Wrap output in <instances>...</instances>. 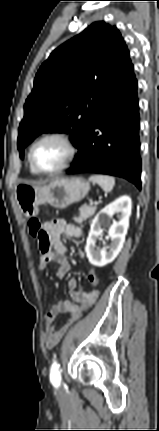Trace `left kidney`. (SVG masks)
Listing matches in <instances>:
<instances>
[{"label": "left kidney", "mask_w": 159, "mask_h": 431, "mask_svg": "<svg viewBox=\"0 0 159 431\" xmlns=\"http://www.w3.org/2000/svg\"><path fill=\"white\" fill-rule=\"evenodd\" d=\"M131 208V198L128 196H121L114 202L105 206L95 216L91 223L85 246L87 258L92 265L103 267L113 262L118 256L125 242ZM114 214H118V221L113 220L112 217ZM105 227H109L108 234L111 238V243L103 249H100L96 246V242L101 240Z\"/></svg>", "instance_id": "obj_1"}]
</instances>
